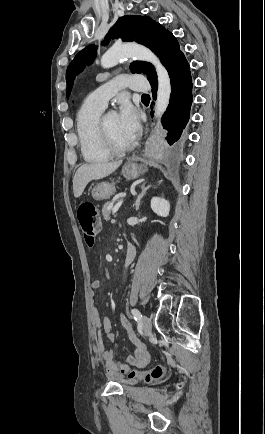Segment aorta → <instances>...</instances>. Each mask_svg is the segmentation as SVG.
<instances>
[{
    "mask_svg": "<svg viewBox=\"0 0 265 434\" xmlns=\"http://www.w3.org/2000/svg\"><path fill=\"white\" fill-rule=\"evenodd\" d=\"M125 56H132V58H137V60L151 62V64L155 66L158 76L155 116L156 118H161L169 106L171 94V84L167 70H165L160 60H158L157 56H155L151 50H148L145 46H138V44H124L121 48L112 46V48H109V50L103 54L101 58V66L102 68H113V66H117L120 58H125Z\"/></svg>",
    "mask_w": 265,
    "mask_h": 434,
    "instance_id": "762f6f07",
    "label": "aorta"
}]
</instances>
